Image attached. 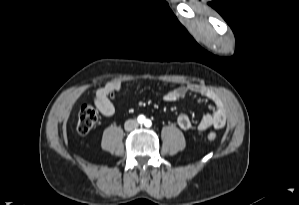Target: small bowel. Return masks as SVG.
I'll return each instance as SVG.
<instances>
[{"instance_id":"obj_1","label":"small bowel","mask_w":299,"mask_h":205,"mask_svg":"<svg viewBox=\"0 0 299 205\" xmlns=\"http://www.w3.org/2000/svg\"><path fill=\"white\" fill-rule=\"evenodd\" d=\"M121 87L122 82L118 79H113L96 90L94 103L102 115L112 116L114 114L115 108L110 100V95L118 92ZM189 92L199 94L213 104V110L205 114L197 122V129L199 131H205L210 127L215 129L223 128L226 123L225 106L219 95L204 85L191 83L176 87L164 95V100L174 102L184 98ZM177 124L181 129L188 130L192 127V120L187 114H180L177 118Z\"/></svg>"}]
</instances>
